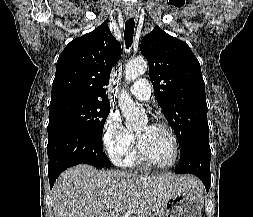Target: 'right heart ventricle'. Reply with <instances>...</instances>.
<instances>
[{"mask_svg": "<svg viewBox=\"0 0 253 217\" xmlns=\"http://www.w3.org/2000/svg\"><path fill=\"white\" fill-rule=\"evenodd\" d=\"M120 164L126 167H138L141 165L136 150L131 148L130 151L120 160Z\"/></svg>", "mask_w": 253, "mask_h": 217, "instance_id": "obj_1", "label": "right heart ventricle"}]
</instances>
